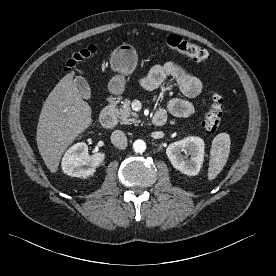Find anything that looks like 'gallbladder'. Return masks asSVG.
<instances>
[{
    "label": "gallbladder",
    "mask_w": 276,
    "mask_h": 276,
    "mask_svg": "<svg viewBox=\"0 0 276 276\" xmlns=\"http://www.w3.org/2000/svg\"><path fill=\"white\" fill-rule=\"evenodd\" d=\"M74 84L82 98L91 99V89L87 81L82 76H77L74 79Z\"/></svg>",
    "instance_id": "gallbladder-1"
}]
</instances>
